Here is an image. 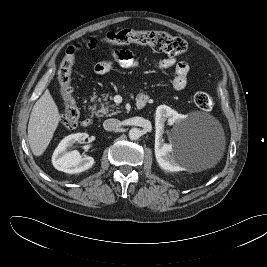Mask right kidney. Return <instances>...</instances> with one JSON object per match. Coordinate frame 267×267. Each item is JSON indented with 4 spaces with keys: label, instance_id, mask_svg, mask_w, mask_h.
Masks as SVG:
<instances>
[{
    "label": "right kidney",
    "instance_id": "1",
    "mask_svg": "<svg viewBox=\"0 0 267 267\" xmlns=\"http://www.w3.org/2000/svg\"><path fill=\"white\" fill-rule=\"evenodd\" d=\"M88 137L87 133H76L65 137L55 149L52 156L53 166L62 172L75 174L88 170L94 164L90 156L82 158L77 150L68 151L76 142L81 143Z\"/></svg>",
    "mask_w": 267,
    "mask_h": 267
}]
</instances>
